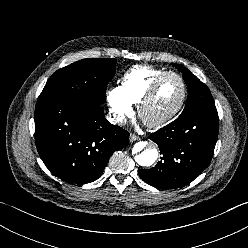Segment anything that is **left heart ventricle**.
Listing matches in <instances>:
<instances>
[{"label":"left heart ventricle","mask_w":248,"mask_h":248,"mask_svg":"<svg viewBox=\"0 0 248 248\" xmlns=\"http://www.w3.org/2000/svg\"><path fill=\"white\" fill-rule=\"evenodd\" d=\"M181 94L182 85L180 80L175 76L166 77L148 106L146 116L153 119L168 113L178 104Z\"/></svg>","instance_id":"left-heart-ventricle-1"}]
</instances>
